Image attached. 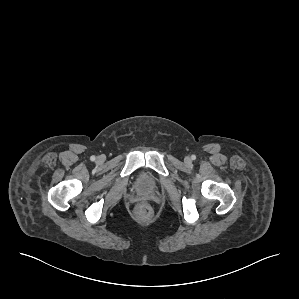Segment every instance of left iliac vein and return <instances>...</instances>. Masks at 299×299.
<instances>
[{
	"mask_svg": "<svg viewBox=\"0 0 299 299\" xmlns=\"http://www.w3.org/2000/svg\"><path fill=\"white\" fill-rule=\"evenodd\" d=\"M185 162L188 164V163L191 162V159H190L189 157H186V158H185Z\"/></svg>",
	"mask_w": 299,
	"mask_h": 299,
	"instance_id": "4c4485c4",
	"label": "left iliac vein"
}]
</instances>
